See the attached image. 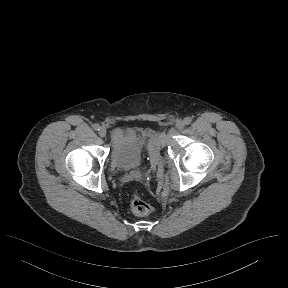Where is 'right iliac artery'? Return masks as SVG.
I'll return each mask as SVG.
<instances>
[{"instance_id":"right-iliac-artery-1","label":"right iliac artery","mask_w":288,"mask_h":288,"mask_svg":"<svg viewBox=\"0 0 288 288\" xmlns=\"http://www.w3.org/2000/svg\"><path fill=\"white\" fill-rule=\"evenodd\" d=\"M93 128H94L96 131H99L101 127H100L99 124H94V125H93Z\"/></svg>"}]
</instances>
